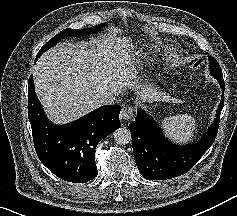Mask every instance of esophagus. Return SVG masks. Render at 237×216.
Listing matches in <instances>:
<instances>
[{"instance_id": "esophagus-1", "label": "esophagus", "mask_w": 237, "mask_h": 216, "mask_svg": "<svg viewBox=\"0 0 237 216\" xmlns=\"http://www.w3.org/2000/svg\"><path fill=\"white\" fill-rule=\"evenodd\" d=\"M133 108L131 106H124L120 112V119L128 121L133 117Z\"/></svg>"}]
</instances>
